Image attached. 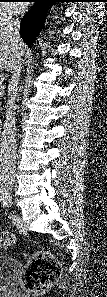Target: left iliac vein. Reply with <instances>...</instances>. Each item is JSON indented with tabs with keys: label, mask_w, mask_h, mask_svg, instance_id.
Instances as JSON below:
<instances>
[{
	"label": "left iliac vein",
	"mask_w": 107,
	"mask_h": 297,
	"mask_svg": "<svg viewBox=\"0 0 107 297\" xmlns=\"http://www.w3.org/2000/svg\"><path fill=\"white\" fill-rule=\"evenodd\" d=\"M10 204V201H6V205H9Z\"/></svg>",
	"instance_id": "obj_1"
}]
</instances>
